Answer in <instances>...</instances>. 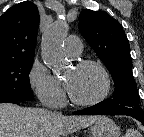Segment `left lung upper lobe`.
Instances as JSON below:
<instances>
[{"instance_id": "5c2ea615", "label": "left lung upper lobe", "mask_w": 144, "mask_h": 137, "mask_svg": "<svg viewBox=\"0 0 144 137\" xmlns=\"http://www.w3.org/2000/svg\"><path fill=\"white\" fill-rule=\"evenodd\" d=\"M79 30L110 71L115 92L104 101L110 108L139 109V95L132 75L130 46L120 23L104 11L85 9L79 16Z\"/></svg>"}]
</instances>
